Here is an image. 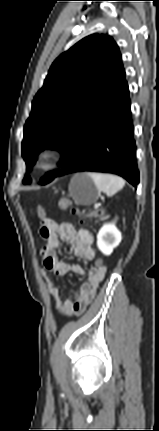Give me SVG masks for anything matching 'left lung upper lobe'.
<instances>
[{"label":"left lung upper lobe","instance_id":"5c2ea615","mask_svg":"<svg viewBox=\"0 0 159 431\" xmlns=\"http://www.w3.org/2000/svg\"><path fill=\"white\" fill-rule=\"evenodd\" d=\"M124 82L119 48L108 35L87 36L61 54L34 97L24 126L22 156L28 171L37 154L46 148L63 152L59 164L65 166L82 127ZM58 172H49L40 183H49ZM30 181L26 175L23 182Z\"/></svg>","mask_w":159,"mask_h":431}]
</instances>
